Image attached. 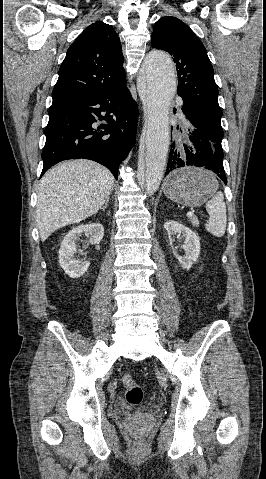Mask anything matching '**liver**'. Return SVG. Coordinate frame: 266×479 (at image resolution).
<instances>
[{
  "instance_id": "1",
  "label": "liver",
  "mask_w": 266,
  "mask_h": 479,
  "mask_svg": "<svg viewBox=\"0 0 266 479\" xmlns=\"http://www.w3.org/2000/svg\"><path fill=\"white\" fill-rule=\"evenodd\" d=\"M114 181L107 168L85 159L65 161L47 171L37 191L36 222L41 241L96 214L109 199Z\"/></svg>"
}]
</instances>
